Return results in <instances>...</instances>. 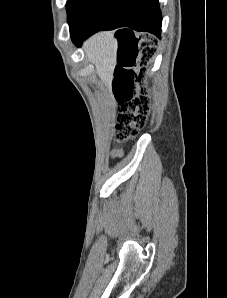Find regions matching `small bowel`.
Here are the masks:
<instances>
[{
	"label": "small bowel",
	"mask_w": 227,
	"mask_h": 298,
	"mask_svg": "<svg viewBox=\"0 0 227 298\" xmlns=\"http://www.w3.org/2000/svg\"><path fill=\"white\" fill-rule=\"evenodd\" d=\"M111 156L114 158L120 157V156H122V151L118 150V149H114L111 152Z\"/></svg>",
	"instance_id": "small-bowel-1"
}]
</instances>
